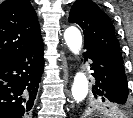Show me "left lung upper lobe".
Wrapping results in <instances>:
<instances>
[{"mask_svg":"<svg viewBox=\"0 0 133 118\" xmlns=\"http://www.w3.org/2000/svg\"><path fill=\"white\" fill-rule=\"evenodd\" d=\"M69 22L77 23L83 29L85 45H93L105 52L112 59L123 64L114 26L108 15L93 1L77 0L70 10ZM95 105L104 111H116L117 108V106H113L99 98ZM86 113H89V109H87Z\"/></svg>","mask_w":133,"mask_h":118,"instance_id":"left-lung-upper-lobe-1","label":"left lung upper lobe"}]
</instances>
